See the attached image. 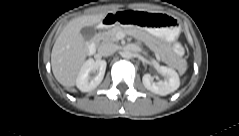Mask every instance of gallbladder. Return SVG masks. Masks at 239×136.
Wrapping results in <instances>:
<instances>
[{
    "instance_id": "gallbladder-1",
    "label": "gallbladder",
    "mask_w": 239,
    "mask_h": 136,
    "mask_svg": "<svg viewBox=\"0 0 239 136\" xmlns=\"http://www.w3.org/2000/svg\"><path fill=\"white\" fill-rule=\"evenodd\" d=\"M80 33L84 39L90 40L95 35V29L93 26H85L81 29Z\"/></svg>"
}]
</instances>
